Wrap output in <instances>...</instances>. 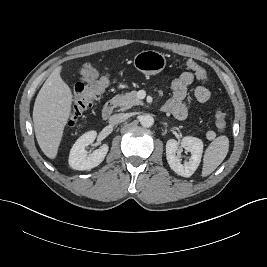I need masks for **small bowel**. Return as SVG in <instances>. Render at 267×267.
Listing matches in <instances>:
<instances>
[{"instance_id": "obj_1", "label": "small bowel", "mask_w": 267, "mask_h": 267, "mask_svg": "<svg viewBox=\"0 0 267 267\" xmlns=\"http://www.w3.org/2000/svg\"><path fill=\"white\" fill-rule=\"evenodd\" d=\"M97 69L90 63H86L80 70L82 81L92 82L98 78ZM193 72H184L171 84L172 96L164 104L163 109L171 113L177 119H184L188 114L187 90L194 81ZM194 99L200 103L207 102L211 98L210 90L203 85L197 86L193 93Z\"/></svg>"}]
</instances>
